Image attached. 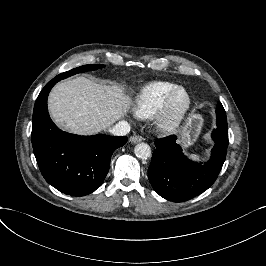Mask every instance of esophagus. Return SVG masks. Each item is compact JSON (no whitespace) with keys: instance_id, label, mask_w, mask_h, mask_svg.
<instances>
[{"instance_id":"1","label":"esophagus","mask_w":266,"mask_h":266,"mask_svg":"<svg viewBox=\"0 0 266 266\" xmlns=\"http://www.w3.org/2000/svg\"><path fill=\"white\" fill-rule=\"evenodd\" d=\"M143 140V138L141 136L138 135H134L130 137V142L131 143H138L141 142Z\"/></svg>"}]
</instances>
